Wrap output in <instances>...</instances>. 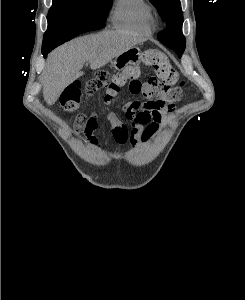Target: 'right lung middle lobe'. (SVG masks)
Masks as SVG:
<instances>
[{
    "instance_id": "obj_1",
    "label": "right lung middle lobe",
    "mask_w": 245,
    "mask_h": 300,
    "mask_svg": "<svg viewBox=\"0 0 245 300\" xmlns=\"http://www.w3.org/2000/svg\"><path fill=\"white\" fill-rule=\"evenodd\" d=\"M111 5L112 0H53L42 47L55 48L83 33L86 22L104 23Z\"/></svg>"
}]
</instances>
